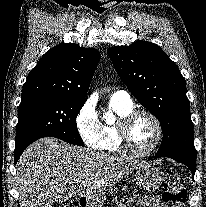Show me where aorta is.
Returning a JSON list of instances; mask_svg holds the SVG:
<instances>
[{"instance_id":"1","label":"aorta","mask_w":206,"mask_h":207,"mask_svg":"<svg viewBox=\"0 0 206 207\" xmlns=\"http://www.w3.org/2000/svg\"><path fill=\"white\" fill-rule=\"evenodd\" d=\"M107 122H108V123L113 122V118H112V117H108V118H107Z\"/></svg>"}]
</instances>
